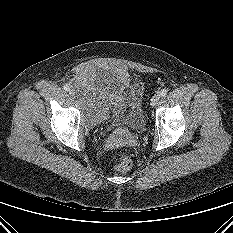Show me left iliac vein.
<instances>
[{"label":"left iliac vein","instance_id":"4c4485c4","mask_svg":"<svg viewBox=\"0 0 233 233\" xmlns=\"http://www.w3.org/2000/svg\"><path fill=\"white\" fill-rule=\"evenodd\" d=\"M160 99V95L159 94H155L152 98H151V102L150 105L151 106H155L157 104V102Z\"/></svg>","mask_w":233,"mask_h":233}]
</instances>
